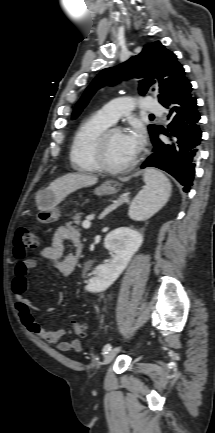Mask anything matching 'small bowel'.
<instances>
[{"instance_id":"1","label":"small bowel","mask_w":215,"mask_h":433,"mask_svg":"<svg viewBox=\"0 0 215 433\" xmlns=\"http://www.w3.org/2000/svg\"><path fill=\"white\" fill-rule=\"evenodd\" d=\"M70 242L72 252L65 251V243ZM82 244L80 232L71 224L59 226L52 237L50 245L43 247L41 254L43 258L54 263L57 271L64 276L70 275L81 254ZM37 266V260L26 258L19 261L15 266V275L11 284L12 292L16 298V310L22 324L32 333L45 339L48 343L56 344L58 350L67 352L82 350V343L78 339L64 340V329L47 330L38 323L33 315L36 307L25 297L28 288L29 271Z\"/></svg>"}]
</instances>
